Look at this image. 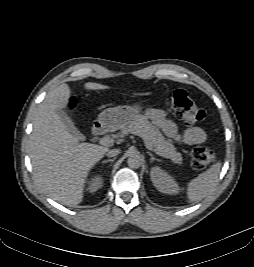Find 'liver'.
Returning a JSON list of instances; mask_svg holds the SVG:
<instances>
[{"label": "liver", "instance_id": "1", "mask_svg": "<svg viewBox=\"0 0 254 267\" xmlns=\"http://www.w3.org/2000/svg\"><path fill=\"white\" fill-rule=\"evenodd\" d=\"M84 88L104 90L108 87L87 82ZM70 96V88L65 83L48 92L34 115L28 151L40 188L53 200L74 206L83 199L89 171L103 158L108 148L80 143L66 129L56 110L66 108Z\"/></svg>", "mask_w": 254, "mask_h": 267}]
</instances>
